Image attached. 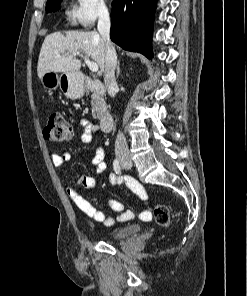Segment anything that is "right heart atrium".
<instances>
[{"label":"right heart atrium","mask_w":247,"mask_h":296,"mask_svg":"<svg viewBox=\"0 0 247 296\" xmlns=\"http://www.w3.org/2000/svg\"><path fill=\"white\" fill-rule=\"evenodd\" d=\"M108 14L106 0H72L67 16L72 24L90 28Z\"/></svg>","instance_id":"d8ad5b80"}]
</instances>
